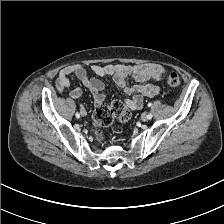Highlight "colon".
<instances>
[{
    "label": "colon",
    "mask_w": 224,
    "mask_h": 224,
    "mask_svg": "<svg viewBox=\"0 0 224 224\" xmlns=\"http://www.w3.org/2000/svg\"><path fill=\"white\" fill-rule=\"evenodd\" d=\"M166 84L173 89L180 87L181 81L179 76L174 73L166 74ZM115 119L121 123H126L130 119V111L120 100L113 101L110 105H99L93 117L94 135L98 139L103 138L102 128L111 125Z\"/></svg>",
    "instance_id": "colon-1"
}]
</instances>
